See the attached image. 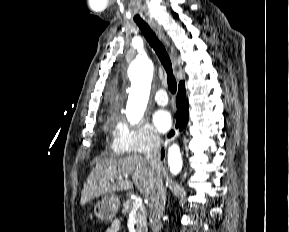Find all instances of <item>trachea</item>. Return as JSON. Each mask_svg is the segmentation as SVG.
Masks as SVG:
<instances>
[{"label": "trachea", "mask_w": 289, "mask_h": 232, "mask_svg": "<svg viewBox=\"0 0 289 232\" xmlns=\"http://www.w3.org/2000/svg\"><path fill=\"white\" fill-rule=\"evenodd\" d=\"M139 29L149 42L150 46L156 52L158 58L160 59L164 69L167 72V83L168 88L172 94L176 93L177 90V82L172 72V64L170 57L163 46V44L156 37L155 33L151 30V28L147 24H138Z\"/></svg>", "instance_id": "1"}]
</instances>
